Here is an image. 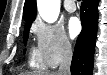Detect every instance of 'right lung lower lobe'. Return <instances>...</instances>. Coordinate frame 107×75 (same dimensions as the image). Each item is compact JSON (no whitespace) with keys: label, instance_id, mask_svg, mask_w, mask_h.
<instances>
[{"label":"right lung lower lobe","instance_id":"obj_1","mask_svg":"<svg viewBox=\"0 0 107 75\" xmlns=\"http://www.w3.org/2000/svg\"><path fill=\"white\" fill-rule=\"evenodd\" d=\"M99 0H83L81 6L82 31L76 41L71 63L72 75H92L95 41L98 28Z\"/></svg>","mask_w":107,"mask_h":75}]
</instances>
